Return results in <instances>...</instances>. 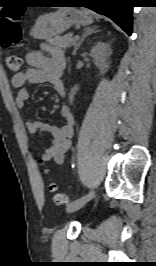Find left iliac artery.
I'll return each mask as SVG.
<instances>
[{
    "label": "left iliac artery",
    "mask_w": 156,
    "mask_h": 266,
    "mask_svg": "<svg viewBox=\"0 0 156 266\" xmlns=\"http://www.w3.org/2000/svg\"><path fill=\"white\" fill-rule=\"evenodd\" d=\"M95 191H96V188H90V192H87V194H85L84 199L88 200L89 198H94L95 197ZM78 199H80V198H78Z\"/></svg>",
    "instance_id": "1"
}]
</instances>
